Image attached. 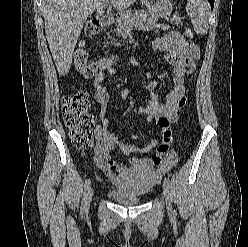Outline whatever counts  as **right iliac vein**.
<instances>
[{"mask_svg": "<svg viewBox=\"0 0 248 247\" xmlns=\"http://www.w3.org/2000/svg\"><path fill=\"white\" fill-rule=\"evenodd\" d=\"M93 192H94L93 191V188L92 187H89V189L87 191L86 210L88 209V207L90 205V202L92 200Z\"/></svg>", "mask_w": 248, "mask_h": 247, "instance_id": "right-iliac-vein-1", "label": "right iliac vein"}]
</instances>
